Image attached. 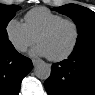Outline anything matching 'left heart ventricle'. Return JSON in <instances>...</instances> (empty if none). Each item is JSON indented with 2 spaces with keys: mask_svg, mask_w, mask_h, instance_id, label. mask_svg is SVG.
Returning <instances> with one entry per match:
<instances>
[{
  "mask_svg": "<svg viewBox=\"0 0 95 95\" xmlns=\"http://www.w3.org/2000/svg\"><path fill=\"white\" fill-rule=\"evenodd\" d=\"M74 38V26L71 23H62L50 34L41 37L38 44L43 46L48 56L56 57L70 48Z\"/></svg>",
  "mask_w": 95,
  "mask_h": 95,
  "instance_id": "left-heart-ventricle-1",
  "label": "left heart ventricle"
}]
</instances>
